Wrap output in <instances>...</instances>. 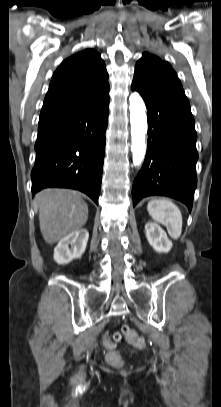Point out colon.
Instances as JSON below:
<instances>
[{"mask_svg":"<svg viewBox=\"0 0 221 407\" xmlns=\"http://www.w3.org/2000/svg\"><path fill=\"white\" fill-rule=\"evenodd\" d=\"M122 336L125 337L129 344L137 348L145 347L144 339L128 326H123L120 332H115L111 336L105 335L103 337V345L109 350V353L107 354V361L113 366H120L122 364L121 354L114 350L116 344L121 340Z\"/></svg>","mask_w":221,"mask_h":407,"instance_id":"colon-1","label":"colon"}]
</instances>
